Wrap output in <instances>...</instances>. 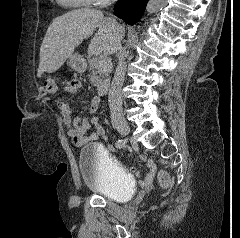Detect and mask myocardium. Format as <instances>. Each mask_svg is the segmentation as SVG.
<instances>
[{
	"mask_svg": "<svg viewBox=\"0 0 240 238\" xmlns=\"http://www.w3.org/2000/svg\"><path fill=\"white\" fill-rule=\"evenodd\" d=\"M87 1L88 3H96V2H99V0H85Z\"/></svg>",
	"mask_w": 240,
	"mask_h": 238,
	"instance_id": "obj_1",
	"label": "myocardium"
}]
</instances>
